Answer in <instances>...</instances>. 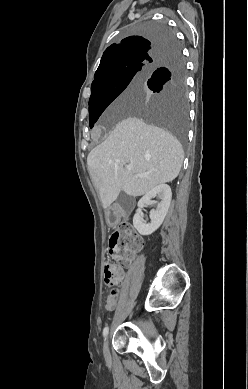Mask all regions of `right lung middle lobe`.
<instances>
[{"instance_id":"obj_1","label":"right lung middle lobe","mask_w":248,"mask_h":389,"mask_svg":"<svg viewBox=\"0 0 248 389\" xmlns=\"http://www.w3.org/2000/svg\"><path fill=\"white\" fill-rule=\"evenodd\" d=\"M139 31L150 40L174 39L171 31L163 24H144L140 26ZM156 69L165 70V74L152 76ZM147 77H150L147 85L154 93L151 100L144 104L132 100L122 104L120 110L169 130L184 144L188 101L185 87V63L178 46L157 56V62L150 67L135 66L114 70L93 82L89 99L90 128H93L103 111L131 82L132 84L142 83Z\"/></svg>"}]
</instances>
